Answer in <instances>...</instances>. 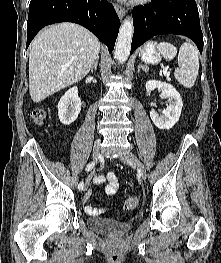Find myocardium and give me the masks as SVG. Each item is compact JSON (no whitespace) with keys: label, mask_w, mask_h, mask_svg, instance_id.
<instances>
[{"label":"myocardium","mask_w":221,"mask_h":263,"mask_svg":"<svg viewBox=\"0 0 221 263\" xmlns=\"http://www.w3.org/2000/svg\"><path fill=\"white\" fill-rule=\"evenodd\" d=\"M149 1H151V0H137V2H138V3H141V4L147 3V2H149Z\"/></svg>","instance_id":"obj_1"}]
</instances>
